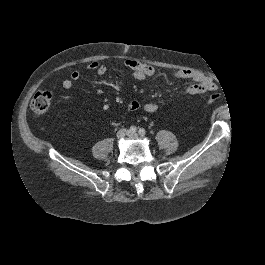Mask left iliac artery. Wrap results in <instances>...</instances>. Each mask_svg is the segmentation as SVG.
<instances>
[{"instance_id": "obj_1", "label": "left iliac artery", "mask_w": 265, "mask_h": 265, "mask_svg": "<svg viewBox=\"0 0 265 265\" xmlns=\"http://www.w3.org/2000/svg\"><path fill=\"white\" fill-rule=\"evenodd\" d=\"M139 134H140L141 136H144V135L146 134L145 129H144V128H140V129H139Z\"/></svg>"}]
</instances>
